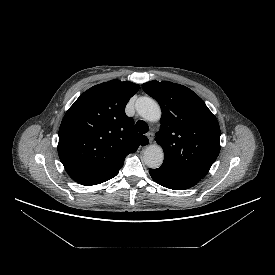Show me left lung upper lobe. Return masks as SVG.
<instances>
[{"label":"left lung upper lobe","mask_w":275,"mask_h":275,"mask_svg":"<svg viewBox=\"0 0 275 275\" xmlns=\"http://www.w3.org/2000/svg\"><path fill=\"white\" fill-rule=\"evenodd\" d=\"M162 108L156 142L164 150L162 165L202 179L220 152V127L204 101L189 88L167 81L142 85Z\"/></svg>","instance_id":"left-lung-upper-lobe-1"}]
</instances>
